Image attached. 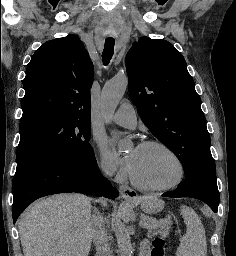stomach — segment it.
I'll list each match as a JSON object with an SVG mask.
<instances>
[{"label":"stomach","instance_id":"1","mask_svg":"<svg viewBox=\"0 0 236 256\" xmlns=\"http://www.w3.org/2000/svg\"><path fill=\"white\" fill-rule=\"evenodd\" d=\"M140 205L142 210L149 214H156L163 209V201L153 197L141 199Z\"/></svg>","mask_w":236,"mask_h":256}]
</instances>
